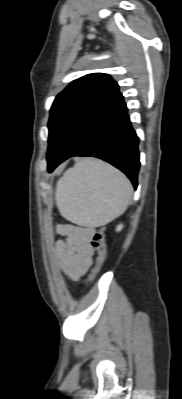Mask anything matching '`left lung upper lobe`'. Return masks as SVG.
I'll return each instance as SVG.
<instances>
[{
	"mask_svg": "<svg viewBox=\"0 0 182 399\" xmlns=\"http://www.w3.org/2000/svg\"><path fill=\"white\" fill-rule=\"evenodd\" d=\"M118 88L107 74H88L73 81L55 98L48 122V163L62 153L90 114L119 93Z\"/></svg>",
	"mask_w": 182,
	"mask_h": 399,
	"instance_id": "obj_1",
	"label": "left lung upper lobe"
}]
</instances>
